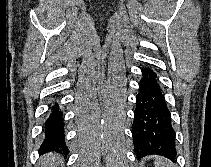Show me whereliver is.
Here are the masks:
<instances>
[{"instance_id":"liver-1","label":"liver","mask_w":211,"mask_h":167,"mask_svg":"<svg viewBox=\"0 0 211 167\" xmlns=\"http://www.w3.org/2000/svg\"><path fill=\"white\" fill-rule=\"evenodd\" d=\"M56 155L51 154L49 156H44L43 159L41 160V166L40 167H53L52 162L55 160ZM61 159L58 160L60 162Z\"/></svg>"}]
</instances>
